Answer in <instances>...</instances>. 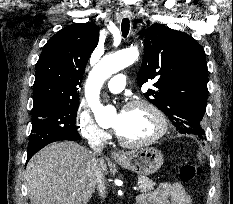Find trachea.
I'll return each mask as SVG.
<instances>
[{
	"label": "trachea",
	"instance_id": "3493384b",
	"mask_svg": "<svg viewBox=\"0 0 233 204\" xmlns=\"http://www.w3.org/2000/svg\"><path fill=\"white\" fill-rule=\"evenodd\" d=\"M129 28H130V22L128 18H124L122 20V24H121V31H122V35L123 37H126L129 33Z\"/></svg>",
	"mask_w": 233,
	"mask_h": 204
}]
</instances>
